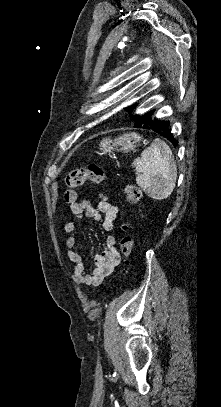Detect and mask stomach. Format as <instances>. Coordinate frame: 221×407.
<instances>
[{
  "label": "stomach",
  "instance_id": "0dacf381",
  "mask_svg": "<svg viewBox=\"0 0 221 407\" xmlns=\"http://www.w3.org/2000/svg\"><path fill=\"white\" fill-rule=\"evenodd\" d=\"M143 140V137L135 132L126 133L122 136L112 140L111 138H104L100 142V150L103 154L112 153V151H123L128 153L134 151Z\"/></svg>",
  "mask_w": 221,
  "mask_h": 407
}]
</instances>
